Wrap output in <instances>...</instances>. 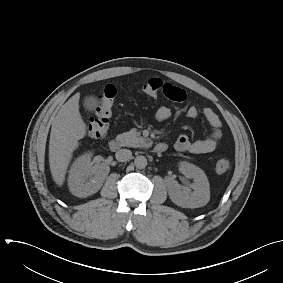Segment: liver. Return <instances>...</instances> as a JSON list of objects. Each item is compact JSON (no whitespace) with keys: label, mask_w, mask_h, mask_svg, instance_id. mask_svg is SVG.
<instances>
[{"label":"liver","mask_w":283,"mask_h":283,"mask_svg":"<svg viewBox=\"0 0 283 283\" xmlns=\"http://www.w3.org/2000/svg\"><path fill=\"white\" fill-rule=\"evenodd\" d=\"M79 93L72 96L52 120L49 164L54 182L62 186L73 151L86 135V124L79 112Z\"/></svg>","instance_id":"6515ba94"}]
</instances>
